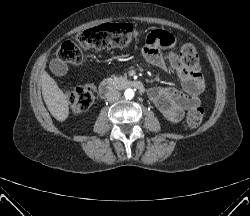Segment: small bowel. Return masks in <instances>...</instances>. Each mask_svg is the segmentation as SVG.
<instances>
[{"label":"small bowel","instance_id":"small-bowel-1","mask_svg":"<svg viewBox=\"0 0 250 216\" xmlns=\"http://www.w3.org/2000/svg\"><path fill=\"white\" fill-rule=\"evenodd\" d=\"M144 60L158 68L174 71L180 79L182 90L174 86L153 87L149 97L161 114L171 122H179L186 110L199 106L200 94L204 88L202 76L197 72L186 70L180 57L175 52L174 36L163 30H155L143 39ZM160 48H166L168 53L163 56Z\"/></svg>","mask_w":250,"mask_h":216}]
</instances>
